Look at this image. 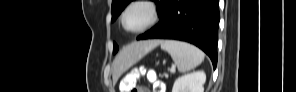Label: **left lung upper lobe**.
Returning a JSON list of instances; mask_svg holds the SVG:
<instances>
[{
    "mask_svg": "<svg viewBox=\"0 0 296 92\" xmlns=\"http://www.w3.org/2000/svg\"><path fill=\"white\" fill-rule=\"evenodd\" d=\"M131 1L132 0H112V7H111V11H112V20L111 21L112 22L115 21V19L119 16V14L122 12V10ZM152 1H154L158 5L157 11L160 16V22L155 26V27H157L163 21V18L165 16L166 7H167L169 0H152ZM155 27H153V28H155ZM117 51H118V46L114 43L113 53L115 54Z\"/></svg>",
    "mask_w": 296,
    "mask_h": 92,
    "instance_id": "1",
    "label": "left lung upper lobe"
}]
</instances>
